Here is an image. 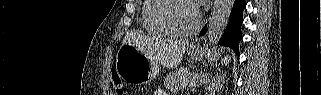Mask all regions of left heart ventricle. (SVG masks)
<instances>
[{
  "mask_svg": "<svg viewBox=\"0 0 321 95\" xmlns=\"http://www.w3.org/2000/svg\"><path fill=\"white\" fill-rule=\"evenodd\" d=\"M167 18L177 29L188 30L196 22L195 9L185 2L172 3L167 11Z\"/></svg>",
  "mask_w": 321,
  "mask_h": 95,
  "instance_id": "1",
  "label": "left heart ventricle"
}]
</instances>
